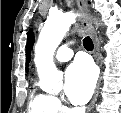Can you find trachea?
Wrapping results in <instances>:
<instances>
[{
  "label": "trachea",
  "instance_id": "1",
  "mask_svg": "<svg viewBox=\"0 0 121 113\" xmlns=\"http://www.w3.org/2000/svg\"><path fill=\"white\" fill-rule=\"evenodd\" d=\"M84 48L88 51H91L93 49V42L90 37H85L83 40Z\"/></svg>",
  "mask_w": 121,
  "mask_h": 113
}]
</instances>
